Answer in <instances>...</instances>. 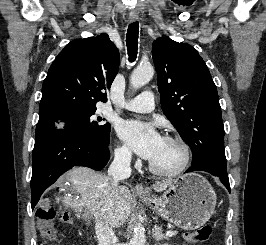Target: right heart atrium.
Returning <instances> with one entry per match:
<instances>
[{
    "mask_svg": "<svg viewBox=\"0 0 266 245\" xmlns=\"http://www.w3.org/2000/svg\"><path fill=\"white\" fill-rule=\"evenodd\" d=\"M115 158L121 163H129L132 160V152L126 145H118L114 151Z\"/></svg>",
    "mask_w": 266,
    "mask_h": 245,
    "instance_id": "obj_1",
    "label": "right heart atrium"
}]
</instances>
